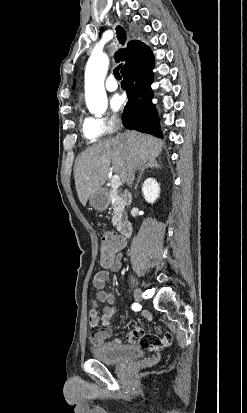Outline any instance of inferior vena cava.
Returning a JSON list of instances; mask_svg holds the SVG:
<instances>
[{
    "mask_svg": "<svg viewBox=\"0 0 247 413\" xmlns=\"http://www.w3.org/2000/svg\"><path fill=\"white\" fill-rule=\"evenodd\" d=\"M123 134H121V132H118L116 138H122ZM135 170H136V166L135 164H133V162H131V160H128L127 162V174H126V180L125 182H127V184H132L133 180H134V176H135Z\"/></svg>",
    "mask_w": 247,
    "mask_h": 413,
    "instance_id": "602c4592",
    "label": "inferior vena cava"
}]
</instances>
